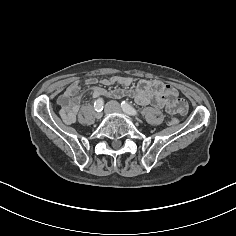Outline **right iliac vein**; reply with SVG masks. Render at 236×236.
<instances>
[{
  "label": "right iliac vein",
  "instance_id": "right-iliac-vein-1",
  "mask_svg": "<svg viewBox=\"0 0 236 236\" xmlns=\"http://www.w3.org/2000/svg\"><path fill=\"white\" fill-rule=\"evenodd\" d=\"M112 111H113V105L111 104V102L106 103L104 106V113L106 115H109Z\"/></svg>",
  "mask_w": 236,
  "mask_h": 236
}]
</instances>
